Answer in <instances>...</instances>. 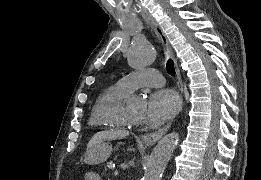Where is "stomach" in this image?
<instances>
[{"mask_svg": "<svg viewBox=\"0 0 261 180\" xmlns=\"http://www.w3.org/2000/svg\"><path fill=\"white\" fill-rule=\"evenodd\" d=\"M112 153V146L106 142H100L90 148L85 154V163L95 165L105 162Z\"/></svg>", "mask_w": 261, "mask_h": 180, "instance_id": "stomach-1", "label": "stomach"}]
</instances>
